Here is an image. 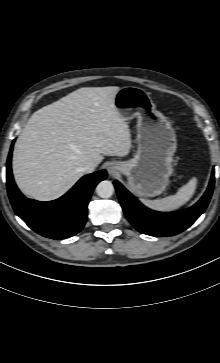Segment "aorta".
I'll return each instance as SVG.
<instances>
[{
    "instance_id": "762f6f07",
    "label": "aorta",
    "mask_w": 220,
    "mask_h": 363,
    "mask_svg": "<svg viewBox=\"0 0 220 363\" xmlns=\"http://www.w3.org/2000/svg\"><path fill=\"white\" fill-rule=\"evenodd\" d=\"M96 192L101 198H109L114 193V186L111 181L103 180L97 185Z\"/></svg>"
}]
</instances>
